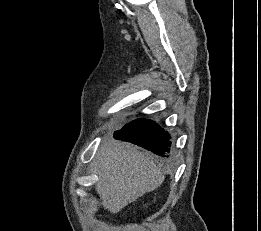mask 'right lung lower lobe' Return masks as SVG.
<instances>
[{
    "mask_svg": "<svg viewBox=\"0 0 261 231\" xmlns=\"http://www.w3.org/2000/svg\"><path fill=\"white\" fill-rule=\"evenodd\" d=\"M116 139L134 143L159 156L168 157L171 142L168 133L151 120L136 119L115 132Z\"/></svg>",
    "mask_w": 261,
    "mask_h": 231,
    "instance_id": "right-lung-lower-lobe-1",
    "label": "right lung lower lobe"
}]
</instances>
